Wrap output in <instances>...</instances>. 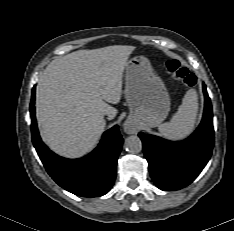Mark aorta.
<instances>
[{
	"label": "aorta",
	"mask_w": 234,
	"mask_h": 231,
	"mask_svg": "<svg viewBox=\"0 0 234 231\" xmlns=\"http://www.w3.org/2000/svg\"><path fill=\"white\" fill-rule=\"evenodd\" d=\"M125 149L130 153H139L142 150V141L136 135H131L124 142Z\"/></svg>",
	"instance_id": "obj_1"
}]
</instances>
